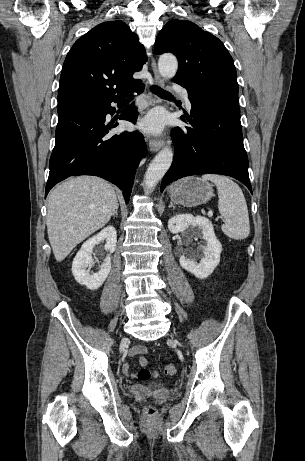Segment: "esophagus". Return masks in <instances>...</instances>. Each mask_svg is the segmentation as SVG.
Listing matches in <instances>:
<instances>
[{"mask_svg":"<svg viewBox=\"0 0 305 461\" xmlns=\"http://www.w3.org/2000/svg\"><path fill=\"white\" fill-rule=\"evenodd\" d=\"M152 69L154 75V82L159 87H164V81L162 80L158 70L156 68L155 60L152 58ZM160 100L156 97L154 102H159ZM165 144L164 138H151L149 141V149L151 151H158L160 150Z\"/></svg>","mask_w":305,"mask_h":461,"instance_id":"esophagus-1","label":"esophagus"}]
</instances>
